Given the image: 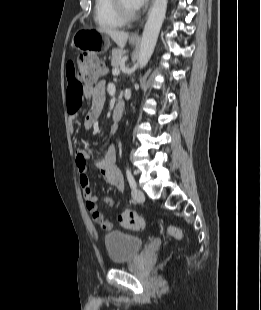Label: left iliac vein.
<instances>
[{"label":"left iliac vein","mask_w":261,"mask_h":310,"mask_svg":"<svg viewBox=\"0 0 261 310\" xmlns=\"http://www.w3.org/2000/svg\"><path fill=\"white\" fill-rule=\"evenodd\" d=\"M132 197L137 202H143L145 200V195L140 189H133Z\"/></svg>","instance_id":"left-iliac-vein-1"}]
</instances>
